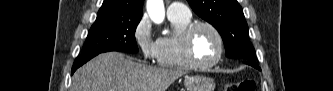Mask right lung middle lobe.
<instances>
[{
    "label": "right lung middle lobe",
    "mask_w": 333,
    "mask_h": 91,
    "mask_svg": "<svg viewBox=\"0 0 333 91\" xmlns=\"http://www.w3.org/2000/svg\"><path fill=\"white\" fill-rule=\"evenodd\" d=\"M142 16H110L97 18L90 28L81 55L108 51L137 53L136 27Z\"/></svg>",
    "instance_id": "obj_1"
}]
</instances>
